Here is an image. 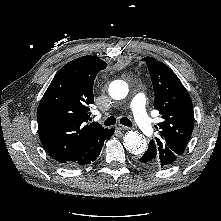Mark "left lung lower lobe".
I'll return each mask as SVG.
<instances>
[{
	"mask_svg": "<svg viewBox=\"0 0 221 221\" xmlns=\"http://www.w3.org/2000/svg\"><path fill=\"white\" fill-rule=\"evenodd\" d=\"M138 163L145 167L150 169H164L167 168L161 160V158L158 156L156 149L149 148L147 151L139 157Z\"/></svg>",
	"mask_w": 221,
	"mask_h": 221,
	"instance_id": "0a47b994",
	"label": "left lung lower lobe"
}]
</instances>
